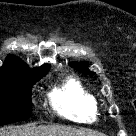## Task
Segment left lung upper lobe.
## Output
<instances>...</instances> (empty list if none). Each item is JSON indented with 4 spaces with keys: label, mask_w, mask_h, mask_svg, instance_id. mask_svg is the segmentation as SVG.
Wrapping results in <instances>:
<instances>
[{
    "label": "left lung upper lobe",
    "mask_w": 136,
    "mask_h": 136,
    "mask_svg": "<svg viewBox=\"0 0 136 136\" xmlns=\"http://www.w3.org/2000/svg\"><path fill=\"white\" fill-rule=\"evenodd\" d=\"M70 65L72 67H74L76 70H78L79 72H82L84 74H89V75H92L94 74V72H90L88 69H87V64L86 63H70Z\"/></svg>",
    "instance_id": "1"
}]
</instances>
